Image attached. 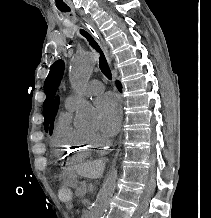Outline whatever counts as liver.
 Masks as SVG:
<instances>
[{
    "mask_svg": "<svg viewBox=\"0 0 211 218\" xmlns=\"http://www.w3.org/2000/svg\"><path fill=\"white\" fill-rule=\"evenodd\" d=\"M105 164L100 162V160H95V162H88L80 168L79 172L84 176V178H102L103 170Z\"/></svg>",
    "mask_w": 211,
    "mask_h": 218,
    "instance_id": "6515ba94",
    "label": "liver"
}]
</instances>
